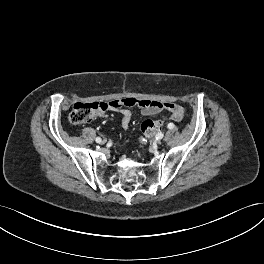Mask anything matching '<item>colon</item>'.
Segmentation results:
<instances>
[{
    "instance_id": "colon-1",
    "label": "colon",
    "mask_w": 264,
    "mask_h": 264,
    "mask_svg": "<svg viewBox=\"0 0 264 264\" xmlns=\"http://www.w3.org/2000/svg\"><path fill=\"white\" fill-rule=\"evenodd\" d=\"M133 98H121L110 102H77L69 115V120L74 125L85 124L92 121L97 116L110 108H122L132 106L134 104ZM164 119L152 120L148 119L141 124V130L146 138L153 137L165 126Z\"/></svg>"
}]
</instances>
